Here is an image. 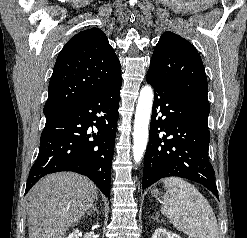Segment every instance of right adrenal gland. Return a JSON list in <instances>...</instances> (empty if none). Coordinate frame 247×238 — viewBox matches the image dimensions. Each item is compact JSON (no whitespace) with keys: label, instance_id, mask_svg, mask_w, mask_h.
I'll use <instances>...</instances> for the list:
<instances>
[{"label":"right adrenal gland","instance_id":"2a0ac1e0","mask_svg":"<svg viewBox=\"0 0 247 238\" xmlns=\"http://www.w3.org/2000/svg\"><path fill=\"white\" fill-rule=\"evenodd\" d=\"M97 202H98V199L96 200L95 204H93L92 208L86 212V216L87 217L88 216H91L94 212H96L97 214H99V211H98V209L96 207Z\"/></svg>","mask_w":247,"mask_h":238}]
</instances>
